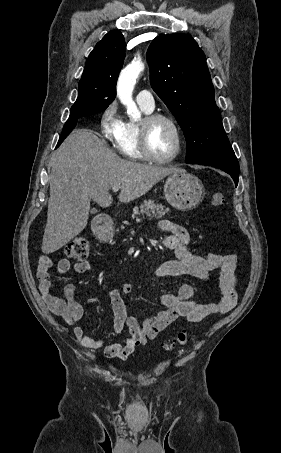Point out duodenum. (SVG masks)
<instances>
[{"label": "duodenum", "mask_w": 281, "mask_h": 453, "mask_svg": "<svg viewBox=\"0 0 281 453\" xmlns=\"http://www.w3.org/2000/svg\"><path fill=\"white\" fill-rule=\"evenodd\" d=\"M111 221L107 218L98 220L94 225V233L99 238H105L108 234Z\"/></svg>", "instance_id": "410a0bca"}]
</instances>
